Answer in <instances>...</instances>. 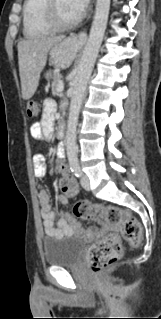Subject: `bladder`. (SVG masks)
<instances>
[{
	"label": "bladder",
	"mask_w": 161,
	"mask_h": 319,
	"mask_svg": "<svg viewBox=\"0 0 161 319\" xmlns=\"http://www.w3.org/2000/svg\"><path fill=\"white\" fill-rule=\"evenodd\" d=\"M85 243L76 236H45L43 242L44 263L49 266L74 265L82 256Z\"/></svg>",
	"instance_id": "1"
}]
</instances>
